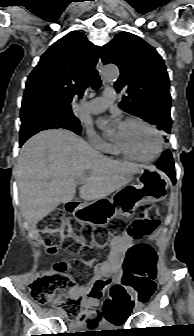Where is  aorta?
<instances>
[{
  "instance_id": "aorta-1",
  "label": "aorta",
  "mask_w": 194,
  "mask_h": 336,
  "mask_svg": "<svg viewBox=\"0 0 194 336\" xmlns=\"http://www.w3.org/2000/svg\"><path fill=\"white\" fill-rule=\"evenodd\" d=\"M102 76L105 82L115 81L119 76V70L115 65H107L102 69Z\"/></svg>"
}]
</instances>
